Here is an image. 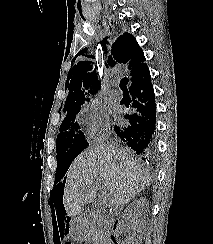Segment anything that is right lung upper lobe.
I'll list each match as a JSON object with an SVG mask.
<instances>
[{"instance_id":"cb5924a9","label":"right lung upper lobe","mask_w":213,"mask_h":244,"mask_svg":"<svg viewBox=\"0 0 213 244\" xmlns=\"http://www.w3.org/2000/svg\"><path fill=\"white\" fill-rule=\"evenodd\" d=\"M111 54L115 60L112 61L111 57L109 58L113 65L115 63L128 65L132 76L131 84L148 68L144 62L143 50L138 45L135 37L128 32L120 35L113 43ZM87 57L92 58L91 56ZM69 78V94L64 104V110L91 102L100 89L96 66L89 59L79 61L70 71Z\"/></svg>"}]
</instances>
